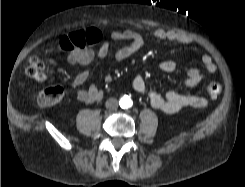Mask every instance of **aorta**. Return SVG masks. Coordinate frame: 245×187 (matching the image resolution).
I'll return each mask as SVG.
<instances>
[{"instance_id": "aorta-1", "label": "aorta", "mask_w": 245, "mask_h": 187, "mask_svg": "<svg viewBox=\"0 0 245 187\" xmlns=\"http://www.w3.org/2000/svg\"><path fill=\"white\" fill-rule=\"evenodd\" d=\"M131 99L128 96H124L120 99V106L121 108H128L131 106Z\"/></svg>"}]
</instances>
